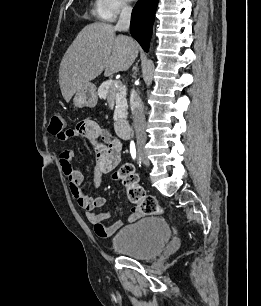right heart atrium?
<instances>
[{
  "label": "right heart atrium",
  "instance_id": "obj_1",
  "mask_svg": "<svg viewBox=\"0 0 261 306\" xmlns=\"http://www.w3.org/2000/svg\"><path fill=\"white\" fill-rule=\"evenodd\" d=\"M130 6L128 0H96L95 12L99 19L113 22L126 13Z\"/></svg>",
  "mask_w": 261,
  "mask_h": 306
}]
</instances>
